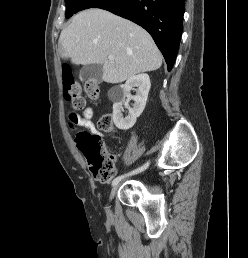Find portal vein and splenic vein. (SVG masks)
I'll return each instance as SVG.
<instances>
[{
  "mask_svg": "<svg viewBox=\"0 0 248 258\" xmlns=\"http://www.w3.org/2000/svg\"><path fill=\"white\" fill-rule=\"evenodd\" d=\"M108 59H109V61H114V56L113 55H109Z\"/></svg>",
  "mask_w": 248,
  "mask_h": 258,
  "instance_id": "18ae733b",
  "label": "portal vein and splenic vein"
}]
</instances>
